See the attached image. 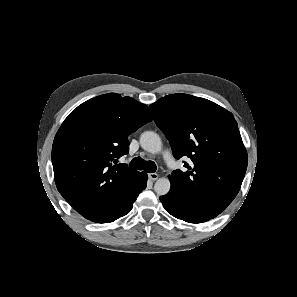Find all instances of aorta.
Segmentation results:
<instances>
[{"label":"aorta","mask_w":297,"mask_h":297,"mask_svg":"<svg viewBox=\"0 0 297 297\" xmlns=\"http://www.w3.org/2000/svg\"><path fill=\"white\" fill-rule=\"evenodd\" d=\"M141 147L150 153L157 154L162 149V142L159 135L152 131H146L140 136ZM171 184L168 178L162 177L157 179L154 190L157 195H166L170 190Z\"/></svg>","instance_id":"1"}]
</instances>
